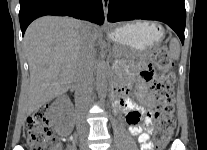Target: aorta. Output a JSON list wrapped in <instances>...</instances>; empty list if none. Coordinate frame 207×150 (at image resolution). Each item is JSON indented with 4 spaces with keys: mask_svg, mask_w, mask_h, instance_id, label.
Returning a JSON list of instances; mask_svg holds the SVG:
<instances>
[{
    "mask_svg": "<svg viewBox=\"0 0 207 150\" xmlns=\"http://www.w3.org/2000/svg\"><path fill=\"white\" fill-rule=\"evenodd\" d=\"M107 77H108V70L105 63L102 60L97 62L96 68V90L101 102L105 101L106 94H107Z\"/></svg>",
    "mask_w": 207,
    "mask_h": 150,
    "instance_id": "obj_1",
    "label": "aorta"
}]
</instances>
